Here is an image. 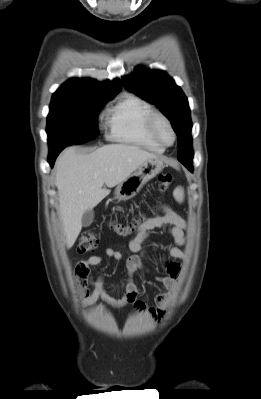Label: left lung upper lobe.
Wrapping results in <instances>:
<instances>
[{
  "mask_svg": "<svg viewBox=\"0 0 261 399\" xmlns=\"http://www.w3.org/2000/svg\"><path fill=\"white\" fill-rule=\"evenodd\" d=\"M122 82L128 90L161 109L177 133L178 160L181 163H192V122L189 104L174 80L161 70L137 68L133 74L122 77Z\"/></svg>",
  "mask_w": 261,
  "mask_h": 399,
  "instance_id": "left-lung-upper-lobe-1",
  "label": "left lung upper lobe"
}]
</instances>
